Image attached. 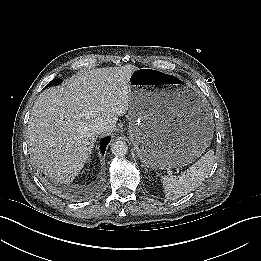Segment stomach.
Instances as JSON below:
<instances>
[{
    "label": "stomach",
    "mask_w": 261,
    "mask_h": 261,
    "mask_svg": "<svg viewBox=\"0 0 261 261\" xmlns=\"http://www.w3.org/2000/svg\"><path fill=\"white\" fill-rule=\"evenodd\" d=\"M129 84V136L142 162L170 169L201 156L212 129L193 87L178 76L150 68L134 71Z\"/></svg>",
    "instance_id": "stomach-1"
}]
</instances>
